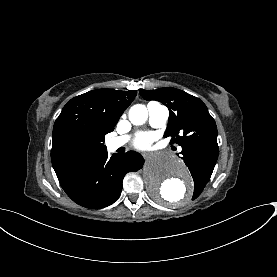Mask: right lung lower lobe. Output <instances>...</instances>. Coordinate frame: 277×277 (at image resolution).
<instances>
[{"label":"right lung lower lobe","instance_id":"1","mask_svg":"<svg viewBox=\"0 0 277 277\" xmlns=\"http://www.w3.org/2000/svg\"><path fill=\"white\" fill-rule=\"evenodd\" d=\"M143 157L136 152L108 157L107 150L56 173L61 187L77 204L99 209L114 203L122 191L126 173L142 168Z\"/></svg>","mask_w":277,"mask_h":277}]
</instances>
